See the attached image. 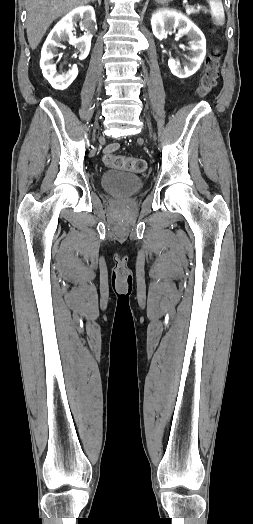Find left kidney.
Instances as JSON below:
<instances>
[{
	"label": "left kidney",
	"mask_w": 253,
	"mask_h": 524,
	"mask_svg": "<svg viewBox=\"0 0 253 524\" xmlns=\"http://www.w3.org/2000/svg\"><path fill=\"white\" fill-rule=\"evenodd\" d=\"M151 25L153 34L158 39L167 37L176 28L179 29V35L188 36L191 51L189 62L182 67L180 62L170 58L168 66L172 74L179 78H187L196 73L206 55V39L200 29L183 14L165 8L152 15Z\"/></svg>",
	"instance_id": "obj_1"
}]
</instances>
